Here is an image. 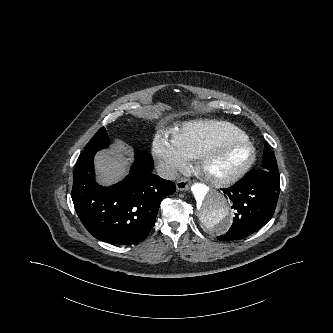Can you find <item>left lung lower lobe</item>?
<instances>
[{
    "label": "left lung lower lobe",
    "instance_id": "0a47b994",
    "mask_svg": "<svg viewBox=\"0 0 333 333\" xmlns=\"http://www.w3.org/2000/svg\"><path fill=\"white\" fill-rule=\"evenodd\" d=\"M265 153L272 152L266 144ZM233 202L235 217L219 240H238L263 227L273 216L280 192V176L252 169L236 185L223 189Z\"/></svg>",
    "mask_w": 333,
    "mask_h": 333
}]
</instances>
